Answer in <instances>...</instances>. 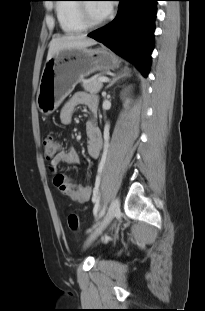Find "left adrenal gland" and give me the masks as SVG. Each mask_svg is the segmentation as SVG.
<instances>
[{"label": "left adrenal gland", "instance_id": "left-adrenal-gland-1", "mask_svg": "<svg viewBox=\"0 0 205 311\" xmlns=\"http://www.w3.org/2000/svg\"><path fill=\"white\" fill-rule=\"evenodd\" d=\"M128 75H129V72L127 71H122V72L117 73V76L113 77L112 80H110L109 84L106 86V89L110 88L120 78H123Z\"/></svg>", "mask_w": 205, "mask_h": 311}]
</instances>
